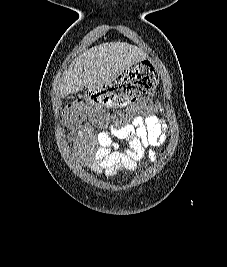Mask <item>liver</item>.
<instances>
[{
    "instance_id": "liver-1",
    "label": "liver",
    "mask_w": 227,
    "mask_h": 267,
    "mask_svg": "<svg viewBox=\"0 0 227 267\" xmlns=\"http://www.w3.org/2000/svg\"><path fill=\"white\" fill-rule=\"evenodd\" d=\"M144 53L139 48L121 42L103 43L80 55L64 73L60 83V95L77 93L83 88L103 87L118 77L129 64H133Z\"/></svg>"
}]
</instances>
